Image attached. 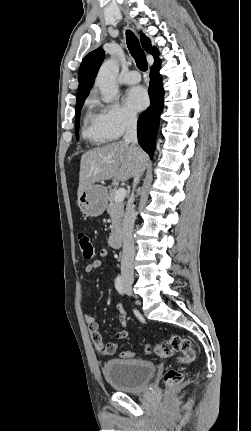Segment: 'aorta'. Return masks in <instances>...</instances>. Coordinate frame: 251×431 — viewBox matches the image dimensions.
<instances>
[{"mask_svg":"<svg viewBox=\"0 0 251 431\" xmlns=\"http://www.w3.org/2000/svg\"><path fill=\"white\" fill-rule=\"evenodd\" d=\"M119 65L116 59L111 58L103 62L96 77V85L103 96V101L110 103L118 93L116 77Z\"/></svg>","mask_w":251,"mask_h":431,"instance_id":"aorta-1","label":"aorta"}]
</instances>
